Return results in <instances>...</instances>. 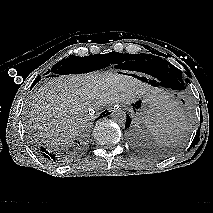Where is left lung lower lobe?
<instances>
[{"mask_svg":"<svg viewBox=\"0 0 213 213\" xmlns=\"http://www.w3.org/2000/svg\"><path fill=\"white\" fill-rule=\"evenodd\" d=\"M155 78V80H151L148 83L151 84L152 86L155 87H163L166 89H173L174 90V86L173 83L165 78V77H158V76H153ZM131 124V119L130 117L127 115V119H126V124H125V128H128Z\"/></svg>","mask_w":213,"mask_h":213,"instance_id":"left-lung-lower-lobe-1","label":"left lung lower lobe"}]
</instances>
